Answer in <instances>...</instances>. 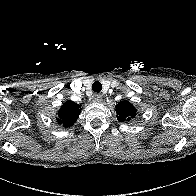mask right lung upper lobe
I'll list each match as a JSON object with an SVG mask.
<instances>
[{
    "mask_svg": "<svg viewBox=\"0 0 196 196\" xmlns=\"http://www.w3.org/2000/svg\"><path fill=\"white\" fill-rule=\"evenodd\" d=\"M80 108L81 105L70 100L66 101L58 112L57 122L64 127L72 126L79 117Z\"/></svg>",
    "mask_w": 196,
    "mask_h": 196,
    "instance_id": "1",
    "label": "right lung upper lobe"
}]
</instances>
